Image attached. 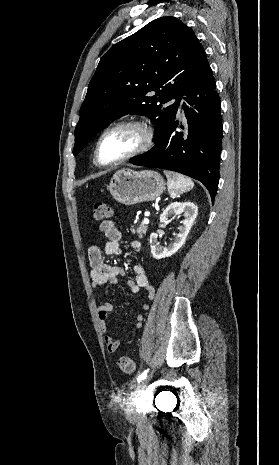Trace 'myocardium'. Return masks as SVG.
I'll list each match as a JSON object with an SVG mask.
<instances>
[{"mask_svg":"<svg viewBox=\"0 0 279 465\" xmlns=\"http://www.w3.org/2000/svg\"><path fill=\"white\" fill-rule=\"evenodd\" d=\"M123 127H135L141 130L142 135H143L142 143L137 149H135L131 153L123 156L122 158L118 160L108 162V163L102 162L99 156V150H100V145H101L102 140L108 133L116 129L123 128ZM154 141H155L154 130L147 121L141 120V119H131V120H125V121L118 122L106 128L99 136L96 142V145H95V150H94L95 161L98 165L103 166V167H111V166L122 164L128 160H131L139 155L146 153L148 150L152 148V146L154 145Z\"/></svg>","mask_w":279,"mask_h":465,"instance_id":"f54148a6","label":"myocardium"}]
</instances>
